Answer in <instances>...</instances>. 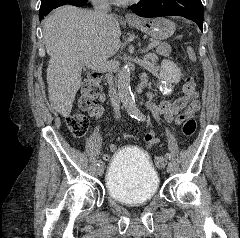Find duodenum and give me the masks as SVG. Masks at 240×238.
<instances>
[{"mask_svg": "<svg viewBox=\"0 0 240 238\" xmlns=\"http://www.w3.org/2000/svg\"><path fill=\"white\" fill-rule=\"evenodd\" d=\"M105 79L108 85L110 86L113 85V77L110 74H106ZM145 84H146V78H142L139 84V89L141 90L142 88H144Z\"/></svg>", "mask_w": 240, "mask_h": 238, "instance_id": "obj_1", "label": "duodenum"}]
</instances>
